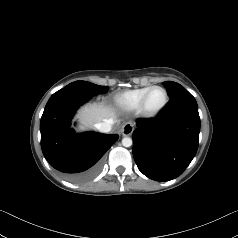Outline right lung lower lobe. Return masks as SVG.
I'll return each mask as SVG.
<instances>
[{
	"label": "right lung lower lobe",
	"instance_id": "right-lung-lower-lobe-1",
	"mask_svg": "<svg viewBox=\"0 0 238 238\" xmlns=\"http://www.w3.org/2000/svg\"><path fill=\"white\" fill-rule=\"evenodd\" d=\"M92 97L79 87L67 86L50 97L41 117L44 157L66 179L76 183L85 182L99 172L101 157L118 140V135L77 134L71 127L77 108Z\"/></svg>",
	"mask_w": 238,
	"mask_h": 238
}]
</instances>
